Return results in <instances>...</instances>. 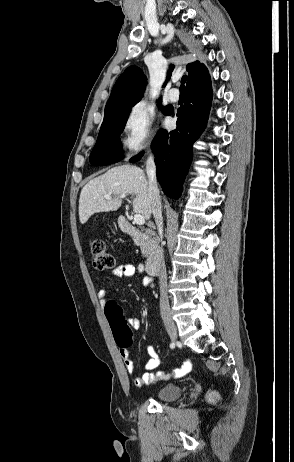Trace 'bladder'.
I'll return each instance as SVG.
<instances>
[{
  "mask_svg": "<svg viewBox=\"0 0 294 462\" xmlns=\"http://www.w3.org/2000/svg\"><path fill=\"white\" fill-rule=\"evenodd\" d=\"M183 389L180 385L168 384L161 387L155 394L156 399L160 401H172L177 399Z\"/></svg>",
  "mask_w": 294,
  "mask_h": 462,
  "instance_id": "obj_1",
  "label": "bladder"
}]
</instances>
